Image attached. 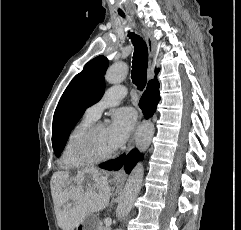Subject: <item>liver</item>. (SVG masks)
<instances>
[{
  "instance_id": "liver-1",
  "label": "liver",
  "mask_w": 241,
  "mask_h": 230,
  "mask_svg": "<svg viewBox=\"0 0 241 230\" xmlns=\"http://www.w3.org/2000/svg\"><path fill=\"white\" fill-rule=\"evenodd\" d=\"M86 174L94 176V179L85 186ZM69 181H74L76 185ZM51 193L59 227L62 230H74L88 215L108 205V174L97 168L80 170L74 177H70L68 172L58 171L51 178Z\"/></svg>"
}]
</instances>
